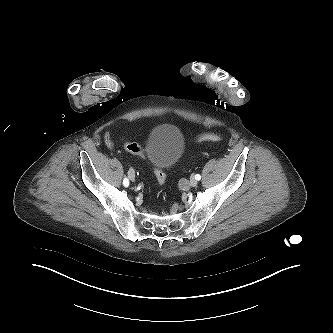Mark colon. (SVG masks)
Masks as SVG:
<instances>
[{"label": "colon", "mask_w": 333, "mask_h": 333, "mask_svg": "<svg viewBox=\"0 0 333 333\" xmlns=\"http://www.w3.org/2000/svg\"><path fill=\"white\" fill-rule=\"evenodd\" d=\"M221 137L216 134H204L198 138L200 142H219ZM125 148L128 152L135 154L140 157H145V153L143 148L135 142H126ZM155 177L160 186L165 185L166 183V175L165 172L160 168L154 169Z\"/></svg>", "instance_id": "1"}]
</instances>
